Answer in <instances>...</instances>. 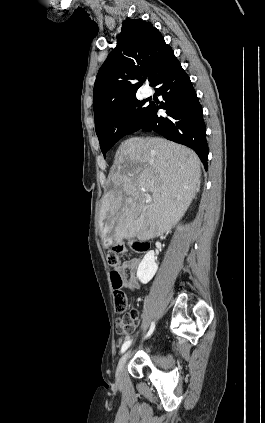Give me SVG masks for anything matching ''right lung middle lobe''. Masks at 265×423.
<instances>
[{"mask_svg":"<svg viewBox=\"0 0 265 423\" xmlns=\"http://www.w3.org/2000/svg\"><path fill=\"white\" fill-rule=\"evenodd\" d=\"M150 105L133 96L112 109L95 124L100 148L105 157L106 152L142 120Z\"/></svg>","mask_w":265,"mask_h":423,"instance_id":"obj_1","label":"right lung middle lobe"}]
</instances>
